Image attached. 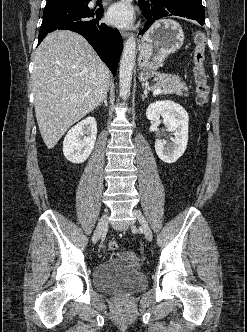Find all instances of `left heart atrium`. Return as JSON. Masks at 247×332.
<instances>
[{"label":"left heart atrium","instance_id":"39dd6f15","mask_svg":"<svg viewBox=\"0 0 247 332\" xmlns=\"http://www.w3.org/2000/svg\"><path fill=\"white\" fill-rule=\"evenodd\" d=\"M107 20L117 27H125L132 21L133 15L130 6L126 2L113 4L107 12Z\"/></svg>","mask_w":247,"mask_h":332}]
</instances>
